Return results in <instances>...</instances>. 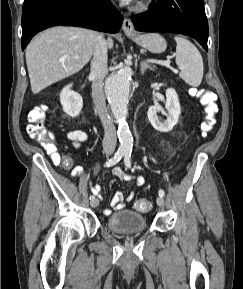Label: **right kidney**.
Listing matches in <instances>:
<instances>
[{"label": "right kidney", "mask_w": 243, "mask_h": 289, "mask_svg": "<svg viewBox=\"0 0 243 289\" xmlns=\"http://www.w3.org/2000/svg\"><path fill=\"white\" fill-rule=\"evenodd\" d=\"M72 84L63 88L60 93V102L63 111L70 117L79 115L83 107V99L80 94L71 90Z\"/></svg>", "instance_id": "right-kidney-1"}]
</instances>
